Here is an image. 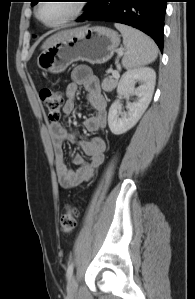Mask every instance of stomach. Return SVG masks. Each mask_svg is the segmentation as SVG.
I'll return each mask as SVG.
<instances>
[{
  "label": "stomach",
  "mask_w": 195,
  "mask_h": 299,
  "mask_svg": "<svg viewBox=\"0 0 195 299\" xmlns=\"http://www.w3.org/2000/svg\"><path fill=\"white\" fill-rule=\"evenodd\" d=\"M120 44V35L107 27H80L71 30L37 58L39 68L50 73H61L73 62L91 64L107 62Z\"/></svg>",
  "instance_id": "1"
}]
</instances>
